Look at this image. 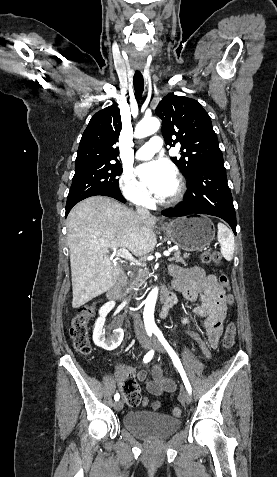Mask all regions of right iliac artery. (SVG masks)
I'll return each mask as SVG.
<instances>
[{"mask_svg": "<svg viewBox=\"0 0 277 477\" xmlns=\"http://www.w3.org/2000/svg\"><path fill=\"white\" fill-rule=\"evenodd\" d=\"M151 334H152V331H148V335L151 336ZM153 355H154V351H153V350H150V351L144 356L143 362H144V363L149 362V361L153 358ZM119 398H120L119 394H118V393L115 394V396H114L115 401H118Z\"/></svg>", "mask_w": 277, "mask_h": 477, "instance_id": "82829eb1", "label": "right iliac artery"}]
</instances>
